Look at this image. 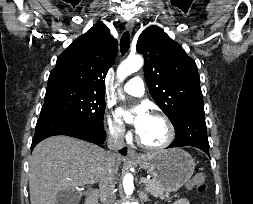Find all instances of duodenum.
Masks as SVG:
<instances>
[{"instance_id": "duodenum-1", "label": "duodenum", "mask_w": 253, "mask_h": 204, "mask_svg": "<svg viewBox=\"0 0 253 204\" xmlns=\"http://www.w3.org/2000/svg\"><path fill=\"white\" fill-rule=\"evenodd\" d=\"M99 192L91 191L86 198L85 204H98Z\"/></svg>"}]
</instances>
